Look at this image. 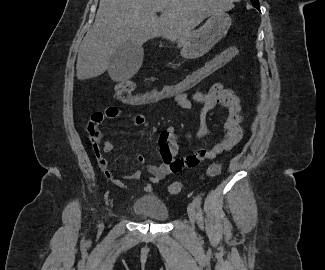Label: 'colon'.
Masks as SVG:
<instances>
[{
	"instance_id": "5ec220e1",
	"label": "colon",
	"mask_w": 325,
	"mask_h": 270,
	"mask_svg": "<svg viewBox=\"0 0 325 270\" xmlns=\"http://www.w3.org/2000/svg\"><path fill=\"white\" fill-rule=\"evenodd\" d=\"M239 53L235 46H230L215 57L207 61L203 66L186 75L182 80L154 88L141 93H135V83L125 79L117 83L115 97L120 102L131 106H146L160 102L175 100L178 96L187 94L190 90L197 88L207 78L224 67ZM91 139L100 138L97 130L90 132ZM221 172V164L214 163L206 171V176L214 177ZM183 186L180 182H173L169 186V192L176 195L181 192Z\"/></svg>"
}]
</instances>
